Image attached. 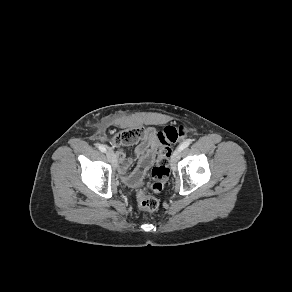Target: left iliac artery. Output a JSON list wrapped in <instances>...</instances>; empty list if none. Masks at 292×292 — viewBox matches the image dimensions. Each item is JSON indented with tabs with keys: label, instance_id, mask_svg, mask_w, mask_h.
<instances>
[{
	"label": "left iliac artery",
	"instance_id": "obj_1",
	"mask_svg": "<svg viewBox=\"0 0 292 292\" xmlns=\"http://www.w3.org/2000/svg\"><path fill=\"white\" fill-rule=\"evenodd\" d=\"M191 144V140H186L184 141L180 146H179V149L182 151L184 150L185 148H187L189 145Z\"/></svg>",
	"mask_w": 292,
	"mask_h": 292
}]
</instances>
